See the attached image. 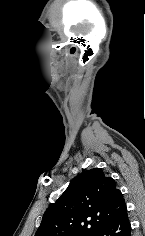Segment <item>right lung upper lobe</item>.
<instances>
[{
    "label": "right lung upper lobe",
    "mask_w": 145,
    "mask_h": 236,
    "mask_svg": "<svg viewBox=\"0 0 145 236\" xmlns=\"http://www.w3.org/2000/svg\"><path fill=\"white\" fill-rule=\"evenodd\" d=\"M125 207L115 180L100 168L90 169L50 205L35 236H93Z\"/></svg>",
    "instance_id": "right-lung-upper-lobe-1"
}]
</instances>
